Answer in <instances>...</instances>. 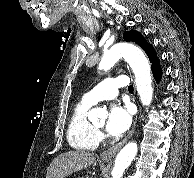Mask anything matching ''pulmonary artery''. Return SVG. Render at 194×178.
<instances>
[{
    "instance_id": "pulmonary-artery-1",
    "label": "pulmonary artery",
    "mask_w": 194,
    "mask_h": 178,
    "mask_svg": "<svg viewBox=\"0 0 194 178\" xmlns=\"http://www.w3.org/2000/svg\"><path fill=\"white\" fill-rule=\"evenodd\" d=\"M129 83L128 77L121 75L101 81L93 89L83 96V101L95 104L102 100H110L118 95V89L126 87Z\"/></svg>"
}]
</instances>
